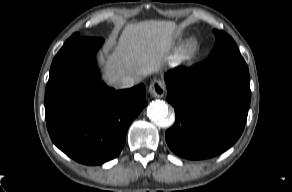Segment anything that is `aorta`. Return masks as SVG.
Here are the masks:
<instances>
[{"label": "aorta", "mask_w": 292, "mask_h": 192, "mask_svg": "<svg viewBox=\"0 0 292 192\" xmlns=\"http://www.w3.org/2000/svg\"><path fill=\"white\" fill-rule=\"evenodd\" d=\"M148 117L159 127H169L174 119L168 116V106L165 102L156 100L147 107Z\"/></svg>", "instance_id": "aorta-1"}]
</instances>
